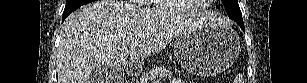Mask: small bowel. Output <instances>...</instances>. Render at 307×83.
<instances>
[{
  "mask_svg": "<svg viewBox=\"0 0 307 83\" xmlns=\"http://www.w3.org/2000/svg\"><path fill=\"white\" fill-rule=\"evenodd\" d=\"M171 83H184L181 79L175 78L171 81Z\"/></svg>",
  "mask_w": 307,
  "mask_h": 83,
  "instance_id": "c3829d8e",
  "label": "small bowel"
}]
</instances>
